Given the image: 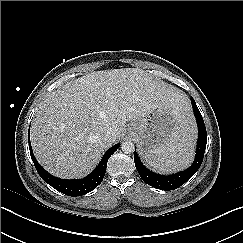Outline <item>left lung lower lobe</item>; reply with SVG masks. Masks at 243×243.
<instances>
[{
  "label": "left lung lower lobe",
  "instance_id": "left-lung-lower-lobe-1",
  "mask_svg": "<svg viewBox=\"0 0 243 243\" xmlns=\"http://www.w3.org/2000/svg\"><path fill=\"white\" fill-rule=\"evenodd\" d=\"M192 107L194 111V115L196 117L197 125H198V142H197V150H196V158L188 169L173 174V175H159L150 170H148L138 158L136 151L134 152V162L136 169L142 178V180L148 185L155 187L161 190H174L185 182H187L199 169L202 164L204 152L206 149L207 143V133L206 127L201 116V113L194 101L191 97Z\"/></svg>",
  "mask_w": 243,
  "mask_h": 243
}]
</instances>
